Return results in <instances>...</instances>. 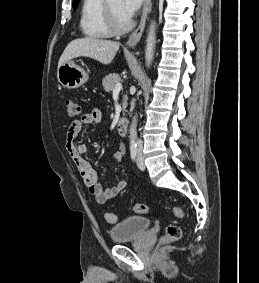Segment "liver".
<instances>
[{
  "instance_id": "obj_1",
  "label": "liver",
  "mask_w": 259,
  "mask_h": 283,
  "mask_svg": "<svg viewBox=\"0 0 259 283\" xmlns=\"http://www.w3.org/2000/svg\"><path fill=\"white\" fill-rule=\"evenodd\" d=\"M119 49V43L95 37L78 38L71 41L61 55L58 68L75 57L85 56L109 64Z\"/></svg>"
}]
</instances>
